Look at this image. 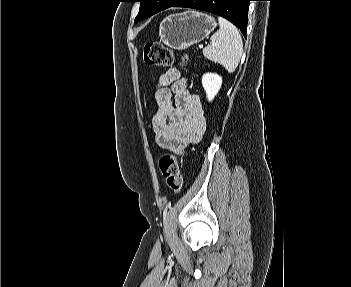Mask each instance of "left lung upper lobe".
<instances>
[{
	"label": "left lung upper lobe",
	"instance_id": "obj_1",
	"mask_svg": "<svg viewBox=\"0 0 351 287\" xmlns=\"http://www.w3.org/2000/svg\"><path fill=\"white\" fill-rule=\"evenodd\" d=\"M136 1L140 2V9H139L138 15L135 18V23L171 7L179 0H136ZM155 1H159V2L154 3Z\"/></svg>",
	"mask_w": 351,
	"mask_h": 287
}]
</instances>
